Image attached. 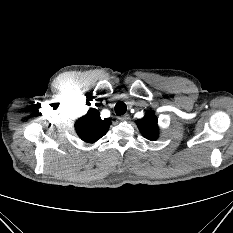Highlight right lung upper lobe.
<instances>
[{"mask_svg": "<svg viewBox=\"0 0 233 233\" xmlns=\"http://www.w3.org/2000/svg\"><path fill=\"white\" fill-rule=\"evenodd\" d=\"M110 124V119L102 120L96 109H90L85 116L76 121L75 129L83 141L94 143L107 133Z\"/></svg>", "mask_w": 233, "mask_h": 233, "instance_id": "1", "label": "right lung upper lobe"}]
</instances>
